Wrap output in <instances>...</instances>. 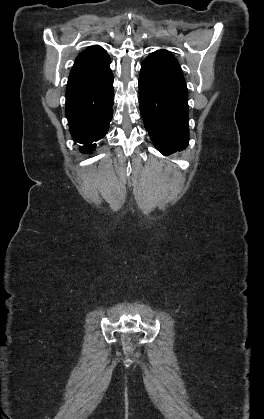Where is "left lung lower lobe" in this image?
Segmentation results:
<instances>
[{"label": "left lung lower lobe", "instance_id": "1", "mask_svg": "<svg viewBox=\"0 0 264 419\" xmlns=\"http://www.w3.org/2000/svg\"><path fill=\"white\" fill-rule=\"evenodd\" d=\"M141 117L154 146L163 155L188 144V93L177 60L166 50L149 55L139 77Z\"/></svg>", "mask_w": 264, "mask_h": 419}]
</instances>
